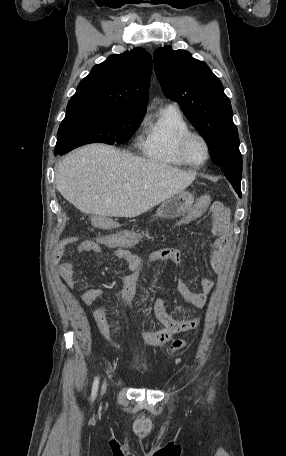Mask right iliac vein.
<instances>
[{
    "mask_svg": "<svg viewBox=\"0 0 286 456\" xmlns=\"http://www.w3.org/2000/svg\"><path fill=\"white\" fill-rule=\"evenodd\" d=\"M106 389H107V383L104 382L103 385H102V388H101V394L102 395L106 392Z\"/></svg>",
    "mask_w": 286,
    "mask_h": 456,
    "instance_id": "1",
    "label": "right iliac vein"
}]
</instances>
